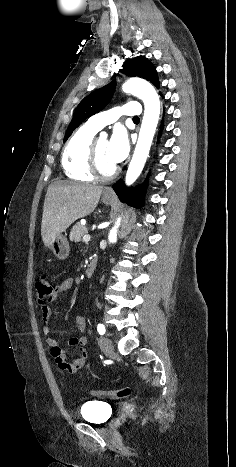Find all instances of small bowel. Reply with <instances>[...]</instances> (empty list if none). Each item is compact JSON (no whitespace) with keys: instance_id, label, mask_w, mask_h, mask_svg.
<instances>
[{"instance_id":"c3829d8e","label":"small bowel","mask_w":236,"mask_h":467,"mask_svg":"<svg viewBox=\"0 0 236 467\" xmlns=\"http://www.w3.org/2000/svg\"><path fill=\"white\" fill-rule=\"evenodd\" d=\"M73 285L71 278H66L59 282L53 289V293L49 299L50 302H56L60 299L63 293L68 292ZM50 317L51 308L47 304L41 306V321L43 333L48 335L51 332L50 329ZM77 328L83 332L86 329V319L79 315L75 320ZM87 339L85 336L71 337L68 339V345L77 349V356L70 362L68 360L67 351L61 346V342L57 338L48 337L46 344L50 348L52 357L54 358L55 364L59 370L71 374L78 373L86 364L89 358V352L85 348Z\"/></svg>"}]
</instances>
